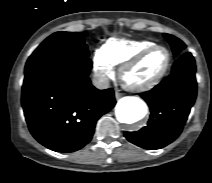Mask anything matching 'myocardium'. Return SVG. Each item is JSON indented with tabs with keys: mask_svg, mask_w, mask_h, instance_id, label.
<instances>
[{
	"mask_svg": "<svg viewBox=\"0 0 212 183\" xmlns=\"http://www.w3.org/2000/svg\"><path fill=\"white\" fill-rule=\"evenodd\" d=\"M159 48L164 49L167 53V61H166L164 68L162 69V71L157 76H155L153 79H151L150 81H148L144 84L132 85V84L127 83L125 81V76H126L127 72L129 70H131L133 67H135L138 63H140L150 52H152L153 50L159 49ZM171 63H172L171 50L166 45L154 44V45H151L149 47L142 49L131 59L126 61L124 64H122L120 67V70H119V77L122 82V85L126 89L133 91V92H146V91L154 88L156 85H158L161 82V80L165 77V75L169 71V69L171 67Z\"/></svg>",
	"mask_w": 212,
	"mask_h": 183,
	"instance_id": "myocardium-1",
	"label": "myocardium"
}]
</instances>
